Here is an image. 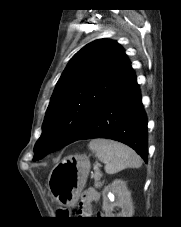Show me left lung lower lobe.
I'll return each instance as SVG.
<instances>
[{"label":"left lung lower lobe","mask_w":181,"mask_h":227,"mask_svg":"<svg viewBox=\"0 0 181 227\" xmlns=\"http://www.w3.org/2000/svg\"><path fill=\"white\" fill-rule=\"evenodd\" d=\"M107 138L133 148L147 162V118L134 72L107 97L77 140Z\"/></svg>","instance_id":"obj_1"}]
</instances>
